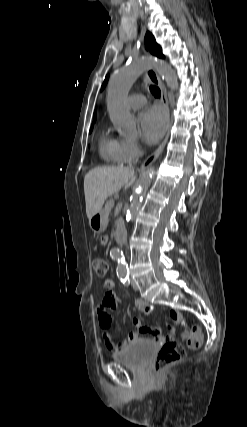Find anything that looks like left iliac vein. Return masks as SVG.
Instances as JSON below:
<instances>
[{
	"label": "left iliac vein",
	"mask_w": 247,
	"mask_h": 427,
	"mask_svg": "<svg viewBox=\"0 0 247 427\" xmlns=\"http://www.w3.org/2000/svg\"><path fill=\"white\" fill-rule=\"evenodd\" d=\"M131 285H132V288L136 291V290H138V286H137V283L134 281V280H131Z\"/></svg>",
	"instance_id": "obj_1"
}]
</instances>
